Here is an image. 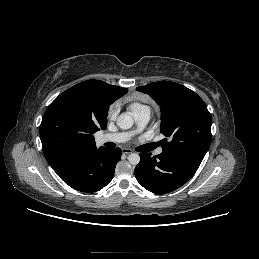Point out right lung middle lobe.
I'll use <instances>...</instances> for the list:
<instances>
[{
    "mask_svg": "<svg viewBox=\"0 0 259 259\" xmlns=\"http://www.w3.org/2000/svg\"><path fill=\"white\" fill-rule=\"evenodd\" d=\"M81 135V125L71 117L57 115L43 129L48 144L55 148L73 145Z\"/></svg>",
    "mask_w": 259,
    "mask_h": 259,
    "instance_id": "right-lung-middle-lobe-1",
    "label": "right lung middle lobe"
}]
</instances>
